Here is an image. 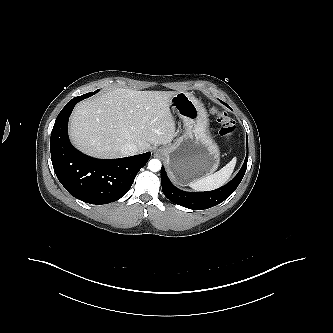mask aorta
<instances>
[{
  "label": "aorta",
  "mask_w": 333,
  "mask_h": 333,
  "mask_svg": "<svg viewBox=\"0 0 333 333\" xmlns=\"http://www.w3.org/2000/svg\"><path fill=\"white\" fill-rule=\"evenodd\" d=\"M148 168L152 172H157L161 169V162L158 159H152L148 163Z\"/></svg>",
  "instance_id": "aorta-1"
}]
</instances>
